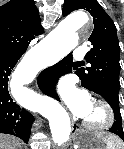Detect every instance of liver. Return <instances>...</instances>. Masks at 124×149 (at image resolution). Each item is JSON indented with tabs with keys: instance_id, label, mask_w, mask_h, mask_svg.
<instances>
[{
	"instance_id": "obj_1",
	"label": "liver",
	"mask_w": 124,
	"mask_h": 149,
	"mask_svg": "<svg viewBox=\"0 0 124 149\" xmlns=\"http://www.w3.org/2000/svg\"><path fill=\"white\" fill-rule=\"evenodd\" d=\"M0 149H22V147L16 138L0 134Z\"/></svg>"
}]
</instances>
